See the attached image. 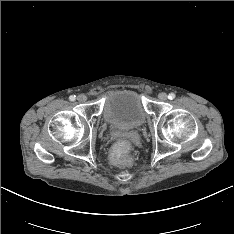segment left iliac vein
Instances as JSON below:
<instances>
[{
  "mask_svg": "<svg viewBox=\"0 0 234 234\" xmlns=\"http://www.w3.org/2000/svg\"><path fill=\"white\" fill-rule=\"evenodd\" d=\"M158 98L160 101H166L168 99V96L166 93L162 92L158 95Z\"/></svg>",
  "mask_w": 234,
  "mask_h": 234,
  "instance_id": "1",
  "label": "left iliac vein"
}]
</instances>
